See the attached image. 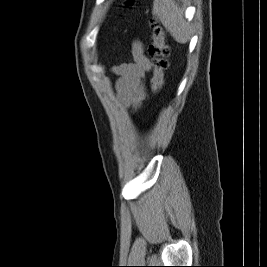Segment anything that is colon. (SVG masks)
I'll return each mask as SVG.
<instances>
[{
  "instance_id": "obj_1",
  "label": "colon",
  "mask_w": 267,
  "mask_h": 267,
  "mask_svg": "<svg viewBox=\"0 0 267 267\" xmlns=\"http://www.w3.org/2000/svg\"><path fill=\"white\" fill-rule=\"evenodd\" d=\"M133 1L128 0L131 4ZM152 41L149 45L148 51L152 58L153 76L151 80L152 90L158 93L163 88L165 82V71L169 66L170 47L166 42V35L157 20H151Z\"/></svg>"
}]
</instances>
